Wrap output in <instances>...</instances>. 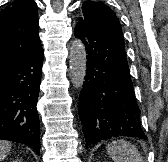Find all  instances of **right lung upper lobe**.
I'll use <instances>...</instances> for the list:
<instances>
[{
  "label": "right lung upper lobe",
  "mask_w": 168,
  "mask_h": 162,
  "mask_svg": "<svg viewBox=\"0 0 168 162\" xmlns=\"http://www.w3.org/2000/svg\"><path fill=\"white\" fill-rule=\"evenodd\" d=\"M41 50L36 3L14 0L0 12V68Z\"/></svg>",
  "instance_id": "obj_1"
}]
</instances>
